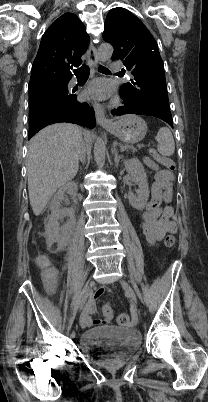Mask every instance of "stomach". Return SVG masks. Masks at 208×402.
Segmentation results:
<instances>
[{"mask_svg":"<svg viewBox=\"0 0 208 402\" xmlns=\"http://www.w3.org/2000/svg\"><path fill=\"white\" fill-rule=\"evenodd\" d=\"M107 130L125 144H137L145 138L147 126L146 122L139 116L127 114V116H121L117 122H112Z\"/></svg>","mask_w":208,"mask_h":402,"instance_id":"obj_1","label":"stomach"}]
</instances>
